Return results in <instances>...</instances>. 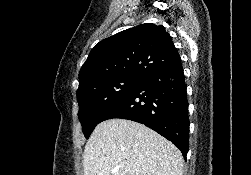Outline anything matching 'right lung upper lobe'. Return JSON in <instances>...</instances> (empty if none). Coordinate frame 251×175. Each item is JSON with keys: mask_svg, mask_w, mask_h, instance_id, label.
<instances>
[{"mask_svg": "<svg viewBox=\"0 0 251 175\" xmlns=\"http://www.w3.org/2000/svg\"><path fill=\"white\" fill-rule=\"evenodd\" d=\"M181 62L164 26L141 24L100 41L79 73V88L122 76L144 78Z\"/></svg>", "mask_w": 251, "mask_h": 175, "instance_id": "obj_1", "label": "right lung upper lobe"}]
</instances>
